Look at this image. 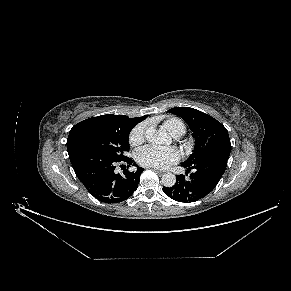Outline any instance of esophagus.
Instances as JSON below:
<instances>
[{
    "label": "esophagus",
    "mask_w": 291,
    "mask_h": 291,
    "mask_svg": "<svg viewBox=\"0 0 291 291\" xmlns=\"http://www.w3.org/2000/svg\"><path fill=\"white\" fill-rule=\"evenodd\" d=\"M154 171H156L158 174L162 175L164 174V171H161V170H157V169H153Z\"/></svg>",
    "instance_id": "34e87169"
}]
</instances>
